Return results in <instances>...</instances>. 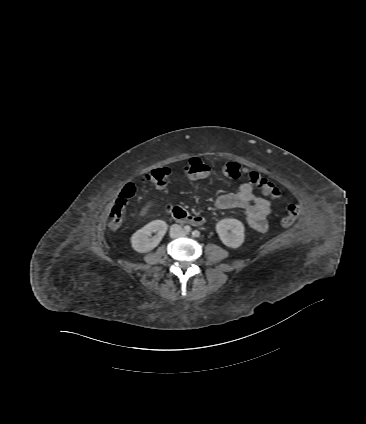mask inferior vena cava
Returning a JSON list of instances; mask_svg holds the SVG:
<instances>
[{
  "label": "inferior vena cava",
  "mask_w": 366,
  "mask_h": 424,
  "mask_svg": "<svg viewBox=\"0 0 366 424\" xmlns=\"http://www.w3.org/2000/svg\"><path fill=\"white\" fill-rule=\"evenodd\" d=\"M182 232V227L178 224H173L170 227V236L172 238L178 237Z\"/></svg>",
  "instance_id": "inferior-vena-cava-1"
}]
</instances>
